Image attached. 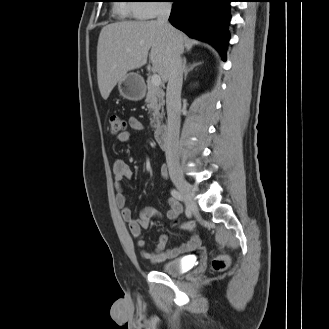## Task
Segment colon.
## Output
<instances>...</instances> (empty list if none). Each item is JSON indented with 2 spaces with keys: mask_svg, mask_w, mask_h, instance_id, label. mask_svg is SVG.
<instances>
[{
  "mask_svg": "<svg viewBox=\"0 0 329 329\" xmlns=\"http://www.w3.org/2000/svg\"><path fill=\"white\" fill-rule=\"evenodd\" d=\"M110 133L113 135H118L124 132L126 128L125 121L118 115H111L109 118ZM179 227L188 232H195L196 225L193 221H186L178 224ZM230 265V258L227 255H219L212 261V267L216 271H224Z\"/></svg>",
  "mask_w": 329,
  "mask_h": 329,
  "instance_id": "5ec220e1",
  "label": "colon"
}]
</instances>
